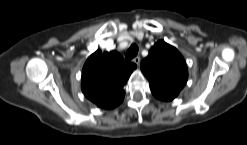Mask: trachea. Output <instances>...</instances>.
<instances>
[{"mask_svg":"<svg viewBox=\"0 0 247 145\" xmlns=\"http://www.w3.org/2000/svg\"><path fill=\"white\" fill-rule=\"evenodd\" d=\"M137 53H138V46L135 43H133L127 50L125 54V58L127 60H131L137 55Z\"/></svg>","mask_w":247,"mask_h":145,"instance_id":"trachea-1","label":"trachea"}]
</instances>
